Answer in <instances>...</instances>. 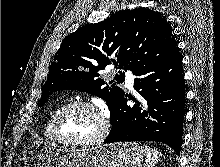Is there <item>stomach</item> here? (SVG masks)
<instances>
[{
    "label": "stomach",
    "mask_w": 220,
    "mask_h": 167,
    "mask_svg": "<svg viewBox=\"0 0 220 167\" xmlns=\"http://www.w3.org/2000/svg\"><path fill=\"white\" fill-rule=\"evenodd\" d=\"M144 153L137 143H115L83 149L58 148L32 142L23 155L24 167H142Z\"/></svg>",
    "instance_id": "0dacf381"
}]
</instances>
